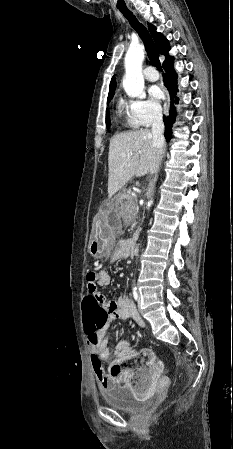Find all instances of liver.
<instances>
[{
    "instance_id": "6515ba94",
    "label": "liver",
    "mask_w": 233,
    "mask_h": 449,
    "mask_svg": "<svg viewBox=\"0 0 233 449\" xmlns=\"http://www.w3.org/2000/svg\"><path fill=\"white\" fill-rule=\"evenodd\" d=\"M131 154V157H128ZM157 150L148 129L127 131L110 140L108 154V195L112 197L133 176L151 172L156 163Z\"/></svg>"
}]
</instances>
